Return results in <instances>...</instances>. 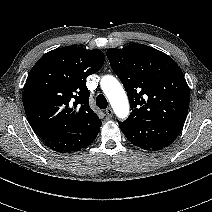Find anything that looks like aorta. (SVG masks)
<instances>
[{"label": "aorta", "instance_id": "aorta-1", "mask_svg": "<svg viewBox=\"0 0 212 212\" xmlns=\"http://www.w3.org/2000/svg\"><path fill=\"white\" fill-rule=\"evenodd\" d=\"M100 86L117 117L125 119L130 107L126 92L119 81L114 76L105 75L101 78Z\"/></svg>", "mask_w": 212, "mask_h": 212}]
</instances>
